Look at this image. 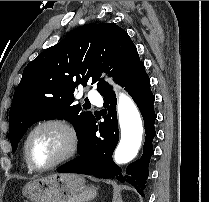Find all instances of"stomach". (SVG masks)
I'll return each instance as SVG.
<instances>
[{
    "instance_id": "obj_1",
    "label": "stomach",
    "mask_w": 209,
    "mask_h": 202,
    "mask_svg": "<svg viewBox=\"0 0 209 202\" xmlns=\"http://www.w3.org/2000/svg\"><path fill=\"white\" fill-rule=\"evenodd\" d=\"M31 202H88L96 188L78 174H52L28 182L22 189Z\"/></svg>"
}]
</instances>
